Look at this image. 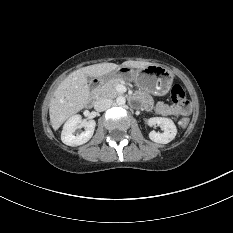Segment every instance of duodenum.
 <instances>
[{
	"mask_svg": "<svg viewBox=\"0 0 233 233\" xmlns=\"http://www.w3.org/2000/svg\"><path fill=\"white\" fill-rule=\"evenodd\" d=\"M103 80L102 79H96L92 82V88L93 90L97 89L101 84Z\"/></svg>",
	"mask_w": 233,
	"mask_h": 233,
	"instance_id": "1",
	"label": "duodenum"
}]
</instances>
